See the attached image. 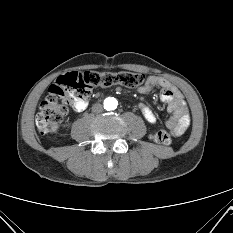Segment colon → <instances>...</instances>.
Returning <instances> with one entry per match:
<instances>
[{
  "label": "colon",
  "instance_id": "colon-1",
  "mask_svg": "<svg viewBox=\"0 0 233 233\" xmlns=\"http://www.w3.org/2000/svg\"><path fill=\"white\" fill-rule=\"evenodd\" d=\"M147 77L134 72H69L60 76L51 85L48 94L41 102L36 114V126L41 134H46L53 126L58 125L70 108L78 102L86 101L97 87L122 85L138 88L145 85ZM150 138L160 145H169L173 137L166 131L152 133Z\"/></svg>",
  "mask_w": 233,
  "mask_h": 233
}]
</instances>
